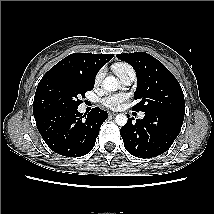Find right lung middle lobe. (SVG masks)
Listing matches in <instances>:
<instances>
[{"instance_id": "obj_1", "label": "right lung middle lobe", "mask_w": 214, "mask_h": 214, "mask_svg": "<svg viewBox=\"0 0 214 214\" xmlns=\"http://www.w3.org/2000/svg\"><path fill=\"white\" fill-rule=\"evenodd\" d=\"M94 83L65 74H49L38 84L33 113L43 114L58 108H77L82 103L79 97H84L87 91L92 90Z\"/></svg>"}]
</instances>
